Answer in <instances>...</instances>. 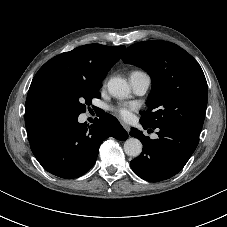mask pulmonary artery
Returning <instances> with one entry per match:
<instances>
[{
  "instance_id": "obj_1",
  "label": "pulmonary artery",
  "mask_w": 227,
  "mask_h": 227,
  "mask_svg": "<svg viewBox=\"0 0 227 227\" xmlns=\"http://www.w3.org/2000/svg\"><path fill=\"white\" fill-rule=\"evenodd\" d=\"M151 83L149 75L142 71H134L130 74V84L133 91L138 95H143L148 90Z\"/></svg>"
}]
</instances>
